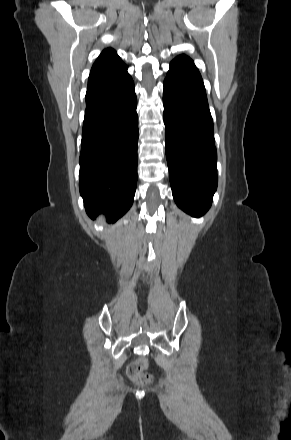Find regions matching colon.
Returning a JSON list of instances; mask_svg holds the SVG:
<instances>
[{
  "label": "colon",
  "instance_id": "colon-1",
  "mask_svg": "<svg viewBox=\"0 0 291 440\" xmlns=\"http://www.w3.org/2000/svg\"><path fill=\"white\" fill-rule=\"evenodd\" d=\"M146 368L147 360L145 358H140L129 363L127 374L138 384L146 383L151 380V375L146 371Z\"/></svg>",
  "mask_w": 291,
  "mask_h": 440
}]
</instances>
